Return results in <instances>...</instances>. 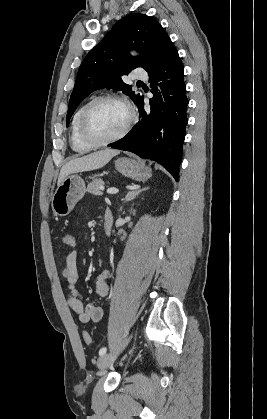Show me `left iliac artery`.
I'll use <instances>...</instances> for the list:
<instances>
[{
	"label": "left iliac artery",
	"mask_w": 267,
	"mask_h": 419,
	"mask_svg": "<svg viewBox=\"0 0 267 419\" xmlns=\"http://www.w3.org/2000/svg\"><path fill=\"white\" fill-rule=\"evenodd\" d=\"M106 351H107L106 347L101 348L100 351H99V355L100 356L104 355L106 353Z\"/></svg>",
	"instance_id": "1"
}]
</instances>
